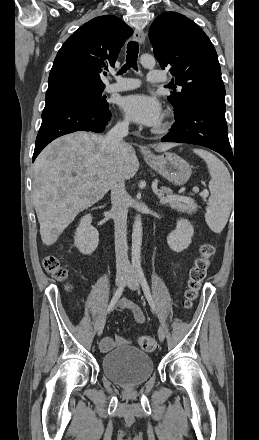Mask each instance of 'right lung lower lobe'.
Segmentation results:
<instances>
[{"label": "right lung lower lobe", "instance_id": "98d812e1", "mask_svg": "<svg viewBox=\"0 0 259 440\" xmlns=\"http://www.w3.org/2000/svg\"><path fill=\"white\" fill-rule=\"evenodd\" d=\"M110 117L108 108L89 102L70 100L46 104L32 162L46 145L62 135L76 131L103 132Z\"/></svg>", "mask_w": 259, "mask_h": 440}]
</instances>
